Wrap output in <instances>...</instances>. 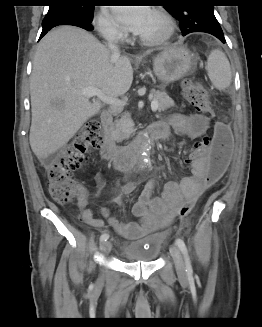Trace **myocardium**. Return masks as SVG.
Here are the masks:
<instances>
[{
    "instance_id": "myocardium-1",
    "label": "myocardium",
    "mask_w": 262,
    "mask_h": 327,
    "mask_svg": "<svg viewBox=\"0 0 262 327\" xmlns=\"http://www.w3.org/2000/svg\"><path fill=\"white\" fill-rule=\"evenodd\" d=\"M152 12L160 19L164 26V31L158 36H142L138 35L137 39L139 42L145 45H161L171 39L175 32V24L171 16L162 8L154 7Z\"/></svg>"
}]
</instances>
